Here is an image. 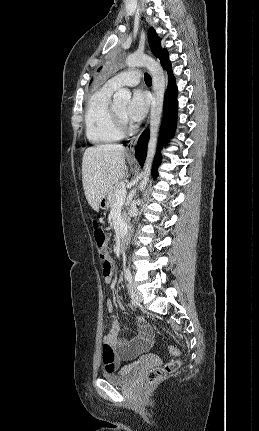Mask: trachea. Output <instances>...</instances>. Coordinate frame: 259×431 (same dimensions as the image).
I'll list each match as a JSON object with an SVG mask.
<instances>
[{
  "label": "trachea",
  "mask_w": 259,
  "mask_h": 431,
  "mask_svg": "<svg viewBox=\"0 0 259 431\" xmlns=\"http://www.w3.org/2000/svg\"><path fill=\"white\" fill-rule=\"evenodd\" d=\"M144 80H145L146 84H151L152 83V78H151V76L148 73L145 74Z\"/></svg>",
  "instance_id": "1"
}]
</instances>
